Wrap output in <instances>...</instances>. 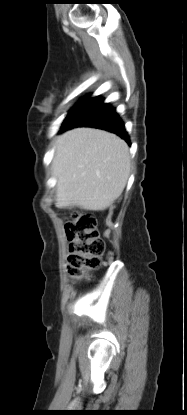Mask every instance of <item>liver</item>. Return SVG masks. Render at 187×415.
Here are the masks:
<instances>
[{
    "instance_id": "1",
    "label": "liver",
    "mask_w": 187,
    "mask_h": 415,
    "mask_svg": "<svg viewBox=\"0 0 187 415\" xmlns=\"http://www.w3.org/2000/svg\"><path fill=\"white\" fill-rule=\"evenodd\" d=\"M56 207L102 211L123 192L130 174L129 147L112 133L76 128L58 137L52 161Z\"/></svg>"
}]
</instances>
